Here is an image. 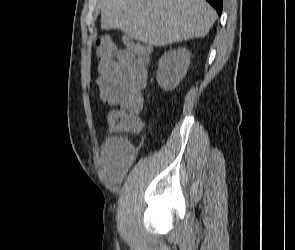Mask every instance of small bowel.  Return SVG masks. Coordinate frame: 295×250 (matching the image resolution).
I'll use <instances>...</instances> for the list:
<instances>
[{"mask_svg": "<svg viewBox=\"0 0 295 250\" xmlns=\"http://www.w3.org/2000/svg\"><path fill=\"white\" fill-rule=\"evenodd\" d=\"M148 62L149 51L133 54L126 48L120 49L113 70L96 80L102 102L110 106L130 105L141 110ZM126 152L127 144L121 138L108 139L102 148V161L113 179L121 178L125 172Z\"/></svg>", "mask_w": 295, "mask_h": 250, "instance_id": "1", "label": "small bowel"}]
</instances>
